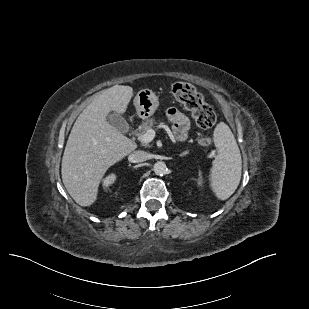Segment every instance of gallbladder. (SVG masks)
Segmentation results:
<instances>
[{"label": "gallbladder", "mask_w": 309, "mask_h": 309, "mask_svg": "<svg viewBox=\"0 0 309 309\" xmlns=\"http://www.w3.org/2000/svg\"><path fill=\"white\" fill-rule=\"evenodd\" d=\"M107 121L119 132L124 133L127 132L129 129L127 121L120 114L114 111L108 114Z\"/></svg>", "instance_id": "obj_1"}]
</instances>
